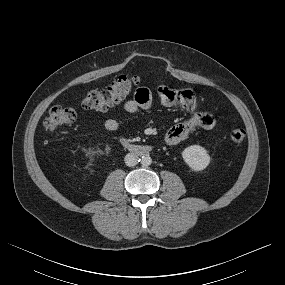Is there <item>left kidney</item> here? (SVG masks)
Instances as JSON below:
<instances>
[{"label":"left kidney","mask_w":285,"mask_h":285,"mask_svg":"<svg viewBox=\"0 0 285 285\" xmlns=\"http://www.w3.org/2000/svg\"><path fill=\"white\" fill-rule=\"evenodd\" d=\"M185 163L194 171L204 170L210 163V156L200 145H191L182 152Z\"/></svg>","instance_id":"1"}]
</instances>
